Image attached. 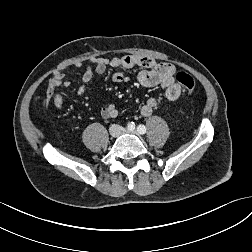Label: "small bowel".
I'll use <instances>...</instances> for the list:
<instances>
[{
    "label": "small bowel",
    "mask_w": 252,
    "mask_h": 252,
    "mask_svg": "<svg viewBox=\"0 0 252 252\" xmlns=\"http://www.w3.org/2000/svg\"><path fill=\"white\" fill-rule=\"evenodd\" d=\"M89 62L90 64L88 65L80 61L75 63L76 67H85L81 76V84L77 90L79 96L85 94L87 85L92 80L94 72L103 74L108 66L125 69L134 67L142 68L137 74L136 80L145 87H161L165 91L166 99L169 101H176L182 93L181 86L175 81L176 67L171 63L157 62L152 58L137 55H126L112 59L95 56L91 57ZM112 80L116 83H125L129 82L131 77L123 72L117 71L112 74ZM69 84L68 81H64V74L62 72L55 73L45 89L44 104L48 105L49 101L53 100L58 109H63L64 99L59 93H56V89L60 86L68 87ZM157 104L158 100L156 98H149L142 105L140 109L141 114L145 117L150 116ZM100 114L104 119L117 118L120 111L116 105L109 104L101 109Z\"/></svg>",
    "instance_id": "c3829d8e"
}]
</instances>
